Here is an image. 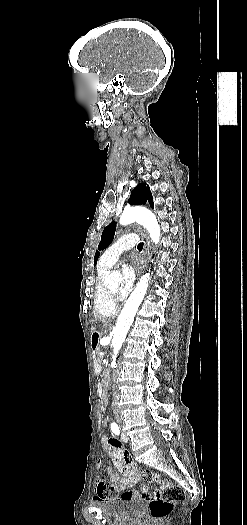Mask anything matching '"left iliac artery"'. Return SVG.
Segmentation results:
<instances>
[{
    "instance_id": "left-iliac-artery-1",
    "label": "left iliac artery",
    "mask_w": 247,
    "mask_h": 525,
    "mask_svg": "<svg viewBox=\"0 0 247 525\" xmlns=\"http://www.w3.org/2000/svg\"><path fill=\"white\" fill-rule=\"evenodd\" d=\"M111 430L116 435H119L120 433L119 426L115 422L111 423Z\"/></svg>"
}]
</instances>
